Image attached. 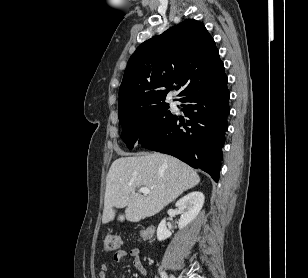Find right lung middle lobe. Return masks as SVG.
I'll return each instance as SVG.
<instances>
[{
  "label": "right lung middle lobe",
  "instance_id": "obj_1",
  "mask_svg": "<svg viewBox=\"0 0 308 278\" xmlns=\"http://www.w3.org/2000/svg\"><path fill=\"white\" fill-rule=\"evenodd\" d=\"M169 104L157 103L140 108L120 120L123 127L121 137L129 149L138 141L143 143L161 132L173 120Z\"/></svg>",
  "mask_w": 308,
  "mask_h": 278
}]
</instances>
